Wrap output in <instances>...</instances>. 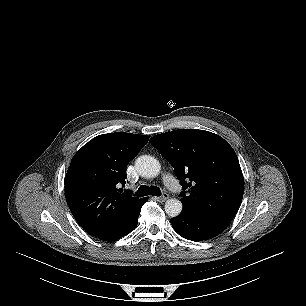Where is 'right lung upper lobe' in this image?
Instances as JSON below:
<instances>
[{
  "label": "right lung upper lobe",
  "mask_w": 306,
  "mask_h": 306,
  "mask_svg": "<svg viewBox=\"0 0 306 306\" xmlns=\"http://www.w3.org/2000/svg\"><path fill=\"white\" fill-rule=\"evenodd\" d=\"M148 140L149 136L125 132L103 134L72 158L65 178L66 201L76 221L90 235L107 241L144 199L118 190L126 183L127 164Z\"/></svg>",
  "instance_id": "obj_1"
}]
</instances>
